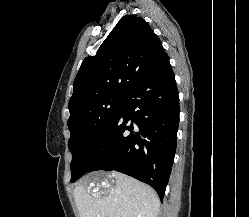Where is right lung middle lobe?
Listing matches in <instances>:
<instances>
[{
  "label": "right lung middle lobe",
  "mask_w": 249,
  "mask_h": 217,
  "mask_svg": "<svg viewBox=\"0 0 249 217\" xmlns=\"http://www.w3.org/2000/svg\"><path fill=\"white\" fill-rule=\"evenodd\" d=\"M124 100L125 96L101 97L70 112L68 147L72 153L71 182L84 174L81 167L87 154L117 117Z\"/></svg>",
  "instance_id": "obj_1"
}]
</instances>
